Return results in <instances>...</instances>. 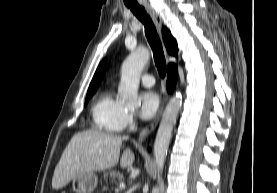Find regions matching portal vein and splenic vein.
Returning a JSON list of instances; mask_svg holds the SVG:
<instances>
[{
    "label": "portal vein and splenic vein",
    "instance_id": "portal-vein-and-splenic-vein-1",
    "mask_svg": "<svg viewBox=\"0 0 277 193\" xmlns=\"http://www.w3.org/2000/svg\"><path fill=\"white\" fill-rule=\"evenodd\" d=\"M125 187H126L125 183H124V182H121L120 185H119L120 190L125 189ZM117 191H118V190H117Z\"/></svg>",
    "mask_w": 277,
    "mask_h": 193
}]
</instances>
